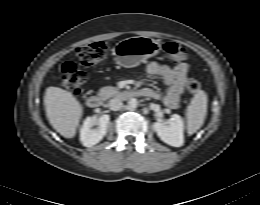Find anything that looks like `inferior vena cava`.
Listing matches in <instances>:
<instances>
[{"instance_id": "1", "label": "inferior vena cava", "mask_w": 260, "mask_h": 205, "mask_svg": "<svg viewBox=\"0 0 260 205\" xmlns=\"http://www.w3.org/2000/svg\"><path fill=\"white\" fill-rule=\"evenodd\" d=\"M123 107V103L120 99L118 98H113L109 101V108L112 111H118Z\"/></svg>"}]
</instances>
